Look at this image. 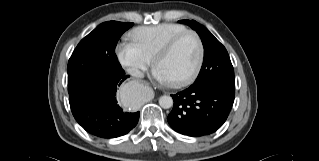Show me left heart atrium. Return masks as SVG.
I'll list each match as a JSON object with an SVG mask.
<instances>
[{"mask_svg":"<svg viewBox=\"0 0 319 161\" xmlns=\"http://www.w3.org/2000/svg\"><path fill=\"white\" fill-rule=\"evenodd\" d=\"M154 77L162 83L168 82V79L166 78V76L162 73L161 70H159L158 68H156L154 70Z\"/></svg>","mask_w":319,"mask_h":161,"instance_id":"obj_1","label":"left heart atrium"}]
</instances>
